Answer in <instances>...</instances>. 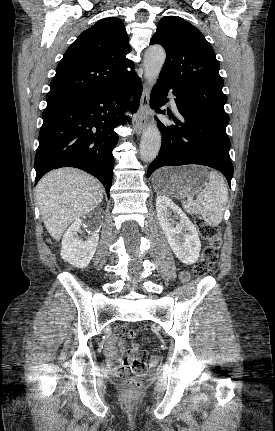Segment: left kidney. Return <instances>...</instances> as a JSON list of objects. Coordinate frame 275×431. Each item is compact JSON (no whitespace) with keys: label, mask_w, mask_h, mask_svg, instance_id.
<instances>
[{"label":"left kidney","mask_w":275,"mask_h":431,"mask_svg":"<svg viewBox=\"0 0 275 431\" xmlns=\"http://www.w3.org/2000/svg\"><path fill=\"white\" fill-rule=\"evenodd\" d=\"M156 212L160 226L176 257L184 264L195 263L199 258L201 242L198 231L186 214L168 197L158 196ZM172 212L180 223L169 219Z\"/></svg>","instance_id":"left-kidney-1"}]
</instances>
